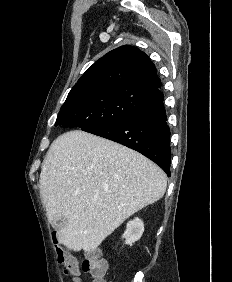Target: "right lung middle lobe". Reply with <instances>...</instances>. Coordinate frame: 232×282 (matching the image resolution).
Here are the masks:
<instances>
[{
  "instance_id": "right-lung-middle-lobe-1",
  "label": "right lung middle lobe",
  "mask_w": 232,
  "mask_h": 282,
  "mask_svg": "<svg viewBox=\"0 0 232 282\" xmlns=\"http://www.w3.org/2000/svg\"><path fill=\"white\" fill-rule=\"evenodd\" d=\"M154 107V101L135 90L110 89L67 99L55 126L79 127L83 131L109 126L135 117Z\"/></svg>"
}]
</instances>
